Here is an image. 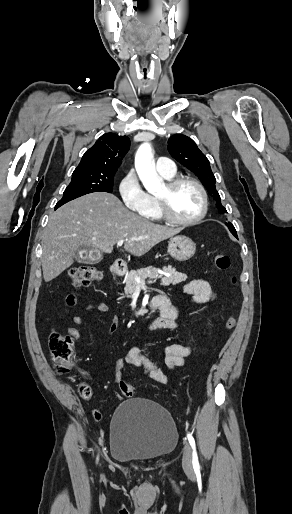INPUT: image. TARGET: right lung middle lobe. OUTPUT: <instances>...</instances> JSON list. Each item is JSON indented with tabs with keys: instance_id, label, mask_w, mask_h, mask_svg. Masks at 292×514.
I'll return each instance as SVG.
<instances>
[{
	"instance_id": "obj_1",
	"label": "right lung middle lobe",
	"mask_w": 292,
	"mask_h": 514,
	"mask_svg": "<svg viewBox=\"0 0 292 514\" xmlns=\"http://www.w3.org/2000/svg\"><path fill=\"white\" fill-rule=\"evenodd\" d=\"M114 176L79 175L72 174L70 184L66 187L62 199L56 204L55 209L63 204L92 192L113 191Z\"/></svg>"
}]
</instances>
